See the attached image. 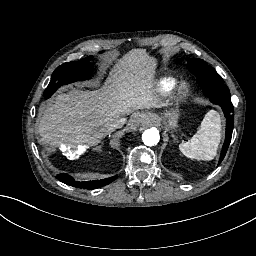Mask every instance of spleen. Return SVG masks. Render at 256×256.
<instances>
[{
  "label": "spleen",
  "mask_w": 256,
  "mask_h": 256,
  "mask_svg": "<svg viewBox=\"0 0 256 256\" xmlns=\"http://www.w3.org/2000/svg\"><path fill=\"white\" fill-rule=\"evenodd\" d=\"M220 137L219 114L210 110L201 122V129L191 140L179 144V150L191 160L211 161L217 153Z\"/></svg>",
  "instance_id": "1"
}]
</instances>
